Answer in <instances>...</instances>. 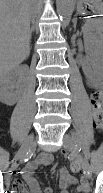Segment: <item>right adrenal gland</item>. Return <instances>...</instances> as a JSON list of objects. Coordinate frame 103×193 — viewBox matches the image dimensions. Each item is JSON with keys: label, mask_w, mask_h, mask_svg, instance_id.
I'll use <instances>...</instances> for the list:
<instances>
[{"label": "right adrenal gland", "mask_w": 103, "mask_h": 193, "mask_svg": "<svg viewBox=\"0 0 103 193\" xmlns=\"http://www.w3.org/2000/svg\"><path fill=\"white\" fill-rule=\"evenodd\" d=\"M34 32V27L32 26L31 29H30V36H29V39H31L32 37V33Z\"/></svg>", "instance_id": "obj_1"}]
</instances>
